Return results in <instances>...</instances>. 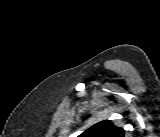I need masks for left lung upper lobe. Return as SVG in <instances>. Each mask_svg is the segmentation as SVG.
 I'll return each instance as SVG.
<instances>
[{
	"label": "left lung upper lobe",
	"mask_w": 160,
	"mask_h": 137,
	"mask_svg": "<svg viewBox=\"0 0 160 137\" xmlns=\"http://www.w3.org/2000/svg\"><path fill=\"white\" fill-rule=\"evenodd\" d=\"M79 137H124V130L105 120L85 130Z\"/></svg>",
	"instance_id": "1"
}]
</instances>
